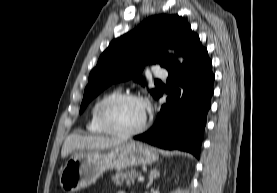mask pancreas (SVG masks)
I'll list each match as a JSON object with an SVG mask.
<instances>
[{
	"label": "pancreas",
	"instance_id": "1",
	"mask_svg": "<svg viewBox=\"0 0 277 193\" xmlns=\"http://www.w3.org/2000/svg\"><path fill=\"white\" fill-rule=\"evenodd\" d=\"M139 176H141V172H137L135 170L126 172L117 171L114 175H112V180L118 186H122L124 183L130 185L134 184L135 179Z\"/></svg>",
	"mask_w": 277,
	"mask_h": 193
}]
</instances>
